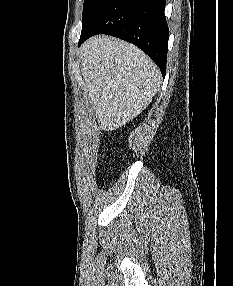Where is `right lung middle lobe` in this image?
Instances as JSON below:
<instances>
[{
	"label": "right lung middle lobe",
	"mask_w": 233,
	"mask_h": 286,
	"mask_svg": "<svg viewBox=\"0 0 233 286\" xmlns=\"http://www.w3.org/2000/svg\"><path fill=\"white\" fill-rule=\"evenodd\" d=\"M100 0H84L83 7V20L90 14L92 9L97 5Z\"/></svg>",
	"instance_id": "dd1d6c3e"
}]
</instances>
